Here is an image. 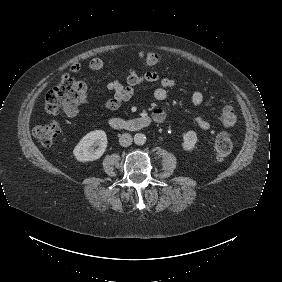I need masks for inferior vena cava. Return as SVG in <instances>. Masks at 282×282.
<instances>
[{"label":"inferior vena cava","mask_w":282,"mask_h":282,"mask_svg":"<svg viewBox=\"0 0 282 282\" xmlns=\"http://www.w3.org/2000/svg\"><path fill=\"white\" fill-rule=\"evenodd\" d=\"M119 143L123 147H128L132 143V136L128 133H123L119 138Z\"/></svg>","instance_id":"obj_1"}]
</instances>
